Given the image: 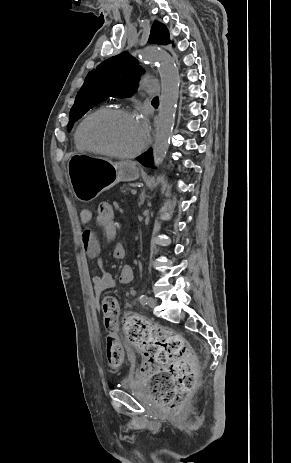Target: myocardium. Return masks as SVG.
<instances>
[{
	"instance_id": "myocardium-1",
	"label": "myocardium",
	"mask_w": 291,
	"mask_h": 463,
	"mask_svg": "<svg viewBox=\"0 0 291 463\" xmlns=\"http://www.w3.org/2000/svg\"><path fill=\"white\" fill-rule=\"evenodd\" d=\"M114 117H130V118H135V115L132 111L128 109H123V108H111L107 109L104 111L96 112L89 117L85 119V121L82 123L80 130H79V136L82 141V143L85 145V147L93 152L103 154L106 156L114 157V158H120V159H131L135 158L138 155H140L143 150L145 149L148 139L147 137L144 138L143 142L141 145L133 152L129 153H121L117 152L114 150L109 149L108 147L102 146V145H97L94 142H92L88 135H87V130L88 127L97 120H104V119H110Z\"/></svg>"
}]
</instances>
